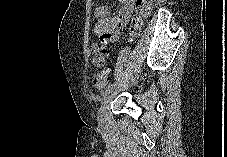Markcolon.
<instances>
[{
	"instance_id": "colon-1",
	"label": "colon",
	"mask_w": 227,
	"mask_h": 157,
	"mask_svg": "<svg viewBox=\"0 0 227 157\" xmlns=\"http://www.w3.org/2000/svg\"><path fill=\"white\" fill-rule=\"evenodd\" d=\"M153 2L154 0H136L135 15L132 19L130 27V33L132 36L137 34L143 21L150 16L153 9ZM102 41L104 40L102 39ZM90 55L95 67H102L104 65L106 49L102 44L94 42L90 49ZM109 78V71L107 69H104L103 71L97 73L93 78L94 87L97 90H102L107 85Z\"/></svg>"
}]
</instances>
